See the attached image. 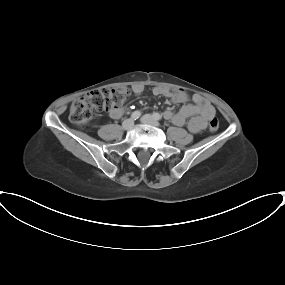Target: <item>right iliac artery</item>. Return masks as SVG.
Here are the masks:
<instances>
[{
    "mask_svg": "<svg viewBox=\"0 0 285 285\" xmlns=\"http://www.w3.org/2000/svg\"><path fill=\"white\" fill-rule=\"evenodd\" d=\"M140 116H141V112L140 111H135V112L132 113L131 118L133 120H137Z\"/></svg>",
    "mask_w": 285,
    "mask_h": 285,
    "instance_id": "obj_1",
    "label": "right iliac artery"
}]
</instances>
